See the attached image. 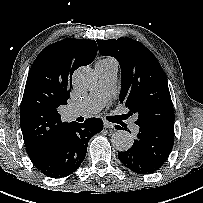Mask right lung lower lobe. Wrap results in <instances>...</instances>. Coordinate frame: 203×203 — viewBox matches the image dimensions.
Wrapping results in <instances>:
<instances>
[{"mask_svg":"<svg viewBox=\"0 0 203 203\" xmlns=\"http://www.w3.org/2000/svg\"><path fill=\"white\" fill-rule=\"evenodd\" d=\"M103 121L88 118L84 123L70 122L48 158L35 167L51 178H61L76 171L83 162L91 137L101 132Z\"/></svg>","mask_w":203,"mask_h":203,"instance_id":"obj_1","label":"right lung lower lobe"}]
</instances>
